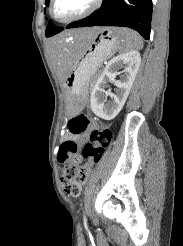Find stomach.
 I'll return each mask as SVG.
<instances>
[{
  "label": "stomach",
  "mask_w": 183,
  "mask_h": 246,
  "mask_svg": "<svg viewBox=\"0 0 183 246\" xmlns=\"http://www.w3.org/2000/svg\"><path fill=\"white\" fill-rule=\"evenodd\" d=\"M121 32V28H100L91 40L63 41L67 50L74 54L72 71L64 81L67 92L66 110L69 115L82 109L89 81L102 61L110 57L122 43Z\"/></svg>",
  "instance_id": "stomach-1"
}]
</instances>
